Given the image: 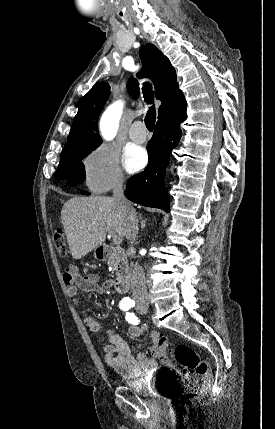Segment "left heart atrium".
<instances>
[{"mask_svg": "<svg viewBox=\"0 0 275 429\" xmlns=\"http://www.w3.org/2000/svg\"><path fill=\"white\" fill-rule=\"evenodd\" d=\"M147 161V155L144 149L140 147H130L124 154V165L129 172L140 170Z\"/></svg>", "mask_w": 275, "mask_h": 429, "instance_id": "left-heart-atrium-1", "label": "left heart atrium"}]
</instances>
